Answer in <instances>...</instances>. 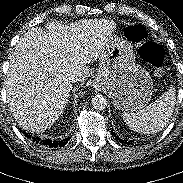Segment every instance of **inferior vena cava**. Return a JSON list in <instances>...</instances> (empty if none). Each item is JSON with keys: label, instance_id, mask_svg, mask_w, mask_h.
I'll list each match as a JSON object with an SVG mask.
<instances>
[{"label": "inferior vena cava", "instance_id": "inferior-vena-cava-1", "mask_svg": "<svg viewBox=\"0 0 183 183\" xmlns=\"http://www.w3.org/2000/svg\"><path fill=\"white\" fill-rule=\"evenodd\" d=\"M68 79H69L71 82H73V83H74V82H78V81L81 80V79H80V76H79V74H78L77 72H72V73H70Z\"/></svg>", "mask_w": 183, "mask_h": 183}]
</instances>
